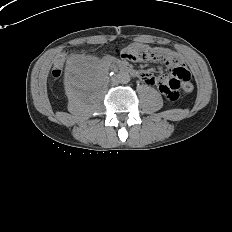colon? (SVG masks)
Returning a JSON list of instances; mask_svg holds the SVG:
<instances>
[{
    "mask_svg": "<svg viewBox=\"0 0 232 232\" xmlns=\"http://www.w3.org/2000/svg\"><path fill=\"white\" fill-rule=\"evenodd\" d=\"M125 60L131 62H143L145 60H156L161 58V53L157 50H152L148 48H139L137 50H126L122 56ZM62 62L61 57L53 66L52 76L58 78L62 73ZM190 80V73L183 67H174L171 74L165 78L168 85L171 86V94L166 97L174 102L177 101L182 94H186L190 90L187 88L186 84Z\"/></svg>",
    "mask_w": 232,
    "mask_h": 232,
    "instance_id": "colon-1",
    "label": "colon"
}]
</instances>
